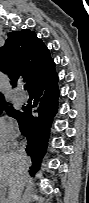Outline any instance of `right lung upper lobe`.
<instances>
[{
  "instance_id": "1",
  "label": "right lung upper lobe",
  "mask_w": 89,
  "mask_h": 203,
  "mask_svg": "<svg viewBox=\"0 0 89 203\" xmlns=\"http://www.w3.org/2000/svg\"><path fill=\"white\" fill-rule=\"evenodd\" d=\"M54 66L49 49L30 30L8 33L4 46L0 48V69L8 74L13 86H16L18 77L23 75L30 87L39 76ZM5 104L4 96L0 94V107Z\"/></svg>"
}]
</instances>
